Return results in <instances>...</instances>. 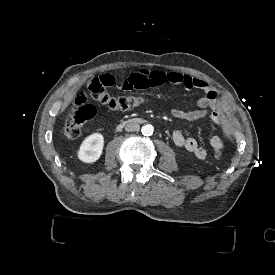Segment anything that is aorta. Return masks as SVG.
Returning <instances> with one entry per match:
<instances>
[{
  "label": "aorta",
  "instance_id": "obj_1",
  "mask_svg": "<svg viewBox=\"0 0 275 275\" xmlns=\"http://www.w3.org/2000/svg\"><path fill=\"white\" fill-rule=\"evenodd\" d=\"M141 132L144 136H151L154 132V127L151 124H145L142 127Z\"/></svg>",
  "mask_w": 275,
  "mask_h": 275
}]
</instances>
